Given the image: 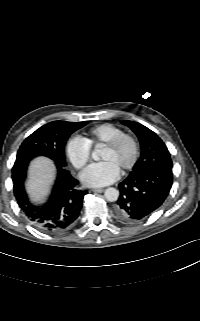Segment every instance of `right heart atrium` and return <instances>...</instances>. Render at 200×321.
<instances>
[{"label": "right heart atrium", "mask_w": 200, "mask_h": 321, "mask_svg": "<svg viewBox=\"0 0 200 321\" xmlns=\"http://www.w3.org/2000/svg\"><path fill=\"white\" fill-rule=\"evenodd\" d=\"M65 152L71 164L80 170L90 159L91 147L83 137L73 136L67 141Z\"/></svg>", "instance_id": "1"}]
</instances>
